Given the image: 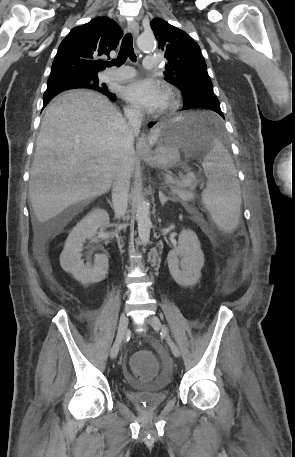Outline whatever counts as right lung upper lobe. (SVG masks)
I'll return each mask as SVG.
<instances>
[{
	"label": "right lung upper lobe",
	"mask_w": 295,
	"mask_h": 457,
	"mask_svg": "<svg viewBox=\"0 0 295 457\" xmlns=\"http://www.w3.org/2000/svg\"><path fill=\"white\" fill-rule=\"evenodd\" d=\"M123 33L108 17H97L74 27L61 42L54 58L48 83L57 81L82 82L105 69L98 56L107 55L119 44Z\"/></svg>",
	"instance_id": "right-lung-upper-lobe-1"
}]
</instances>
